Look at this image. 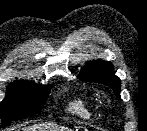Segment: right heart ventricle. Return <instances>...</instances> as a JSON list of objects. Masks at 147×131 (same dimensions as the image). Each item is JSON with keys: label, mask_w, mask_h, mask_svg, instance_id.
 <instances>
[{"label": "right heart ventricle", "mask_w": 147, "mask_h": 131, "mask_svg": "<svg viewBox=\"0 0 147 131\" xmlns=\"http://www.w3.org/2000/svg\"><path fill=\"white\" fill-rule=\"evenodd\" d=\"M92 103L88 98L78 97L71 100L67 106V110L83 119H89L91 113Z\"/></svg>", "instance_id": "e07e8e85"}]
</instances>
